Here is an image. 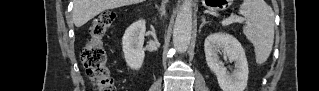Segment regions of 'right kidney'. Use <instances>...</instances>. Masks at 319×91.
<instances>
[{"label":"right kidney","mask_w":319,"mask_h":91,"mask_svg":"<svg viewBox=\"0 0 319 91\" xmlns=\"http://www.w3.org/2000/svg\"><path fill=\"white\" fill-rule=\"evenodd\" d=\"M146 22L140 19L131 24L122 39V48L127 65L133 70H139L144 61L143 50Z\"/></svg>","instance_id":"right-kidney-1"}]
</instances>
